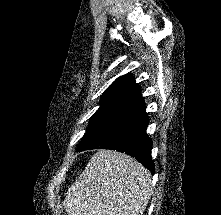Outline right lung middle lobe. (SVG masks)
I'll list each match as a JSON object with an SVG mask.
<instances>
[{
    "label": "right lung middle lobe",
    "mask_w": 221,
    "mask_h": 215,
    "mask_svg": "<svg viewBox=\"0 0 221 215\" xmlns=\"http://www.w3.org/2000/svg\"><path fill=\"white\" fill-rule=\"evenodd\" d=\"M122 118L110 115L94 114L90 119L89 127L79 145V149L92 140L96 139L100 135L104 134L110 128H112L116 123H118Z\"/></svg>",
    "instance_id": "right-lung-middle-lobe-1"
}]
</instances>
